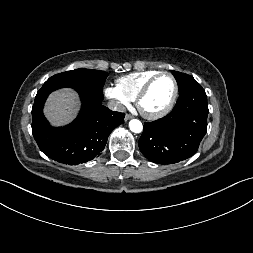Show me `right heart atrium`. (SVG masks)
Wrapping results in <instances>:
<instances>
[{
	"label": "right heart atrium",
	"instance_id": "1",
	"mask_svg": "<svg viewBox=\"0 0 253 253\" xmlns=\"http://www.w3.org/2000/svg\"><path fill=\"white\" fill-rule=\"evenodd\" d=\"M104 95L114 103L117 109H122L130 104V100L116 86H106Z\"/></svg>",
	"mask_w": 253,
	"mask_h": 253
}]
</instances>
